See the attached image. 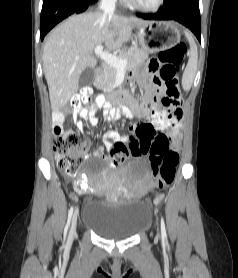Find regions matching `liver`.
Returning <instances> with one entry per match:
<instances>
[{
  "instance_id": "obj_1",
  "label": "liver",
  "mask_w": 238,
  "mask_h": 278,
  "mask_svg": "<svg viewBox=\"0 0 238 278\" xmlns=\"http://www.w3.org/2000/svg\"><path fill=\"white\" fill-rule=\"evenodd\" d=\"M149 23L102 12L73 15L56 27L45 41L43 70L54 112L64 107L79 89L87 67H95L93 51L103 44L116 50L131 39L133 26Z\"/></svg>"
}]
</instances>
